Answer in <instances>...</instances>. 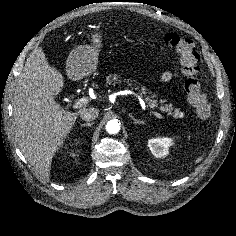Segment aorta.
I'll return each instance as SVG.
<instances>
[{"mask_svg": "<svg viewBox=\"0 0 236 236\" xmlns=\"http://www.w3.org/2000/svg\"><path fill=\"white\" fill-rule=\"evenodd\" d=\"M106 130L110 134H116L120 130V124L117 120H110L107 122Z\"/></svg>", "mask_w": 236, "mask_h": 236, "instance_id": "obj_1", "label": "aorta"}]
</instances>
